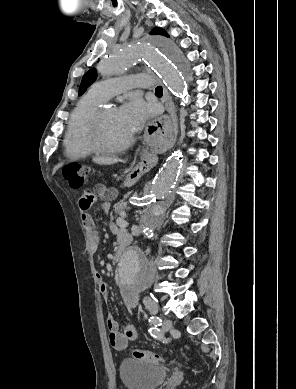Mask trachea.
I'll return each instance as SVG.
<instances>
[{"label":"trachea","instance_id":"obj_1","mask_svg":"<svg viewBox=\"0 0 296 389\" xmlns=\"http://www.w3.org/2000/svg\"><path fill=\"white\" fill-rule=\"evenodd\" d=\"M155 93H156L157 95H162V94H163L162 87H161V86L156 87Z\"/></svg>","mask_w":296,"mask_h":389}]
</instances>
